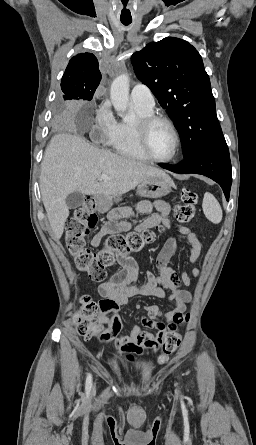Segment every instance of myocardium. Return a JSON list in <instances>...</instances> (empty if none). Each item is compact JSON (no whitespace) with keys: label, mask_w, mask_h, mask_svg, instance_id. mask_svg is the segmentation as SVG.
I'll return each mask as SVG.
<instances>
[{"label":"myocardium","mask_w":256,"mask_h":445,"mask_svg":"<svg viewBox=\"0 0 256 445\" xmlns=\"http://www.w3.org/2000/svg\"><path fill=\"white\" fill-rule=\"evenodd\" d=\"M156 123H164L168 125L171 131L173 132L175 138V147L172 155L169 156L168 158L156 157L151 151L149 145V132L152 126L155 125ZM134 128L139 146L148 159L157 163H169L177 158L181 148V137L176 125L172 120H170L165 116L152 114L146 117L138 118L134 124Z\"/></svg>","instance_id":"obj_1"}]
</instances>
